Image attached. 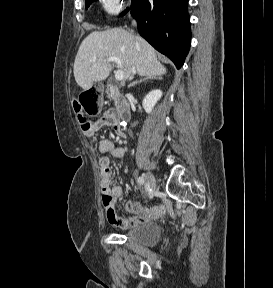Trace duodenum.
<instances>
[{"label": "duodenum", "instance_id": "410a0bca", "mask_svg": "<svg viewBox=\"0 0 273 288\" xmlns=\"http://www.w3.org/2000/svg\"><path fill=\"white\" fill-rule=\"evenodd\" d=\"M109 95L114 100L116 105L117 116L120 121L127 122L131 118L130 105L128 101L121 95L119 90L111 88Z\"/></svg>", "mask_w": 273, "mask_h": 288}]
</instances>
